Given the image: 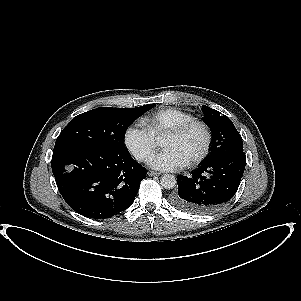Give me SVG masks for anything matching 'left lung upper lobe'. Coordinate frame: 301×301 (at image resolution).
<instances>
[{
    "label": "left lung upper lobe",
    "mask_w": 301,
    "mask_h": 301,
    "mask_svg": "<svg viewBox=\"0 0 301 301\" xmlns=\"http://www.w3.org/2000/svg\"><path fill=\"white\" fill-rule=\"evenodd\" d=\"M203 121L209 126L213 133L211 153L206 158L208 161L227 150H243V142L232 121L225 115L221 116L219 111L202 107Z\"/></svg>",
    "instance_id": "left-lung-upper-lobe-1"
}]
</instances>
